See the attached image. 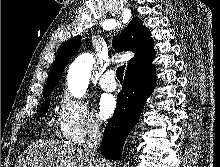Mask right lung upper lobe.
<instances>
[{
  "mask_svg": "<svg viewBox=\"0 0 220 167\" xmlns=\"http://www.w3.org/2000/svg\"><path fill=\"white\" fill-rule=\"evenodd\" d=\"M81 44V37H75L64 44L56 56L53 63L43 97H47L58 84L65 65L69 59L77 52ZM154 41L150 31L143 26L142 21L134 17L130 24L113 39V46L119 51H133L135 56L129 60L127 71L136 69L144 65H152L155 57L153 49Z\"/></svg>",
  "mask_w": 220,
  "mask_h": 167,
  "instance_id": "obj_1",
  "label": "right lung upper lobe"
}]
</instances>
